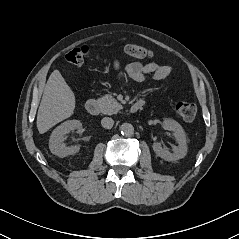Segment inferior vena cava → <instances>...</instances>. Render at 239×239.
I'll list each match as a JSON object with an SVG mask.
<instances>
[{
  "mask_svg": "<svg viewBox=\"0 0 239 239\" xmlns=\"http://www.w3.org/2000/svg\"><path fill=\"white\" fill-rule=\"evenodd\" d=\"M101 125H102L103 128L111 129L114 125V120L112 118H109V117H104L101 120Z\"/></svg>",
  "mask_w": 239,
  "mask_h": 239,
  "instance_id": "obj_1",
  "label": "inferior vena cava"
}]
</instances>
